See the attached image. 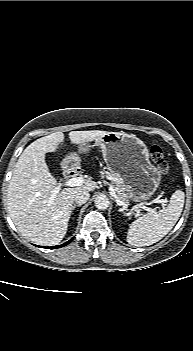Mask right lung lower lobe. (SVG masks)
Listing matches in <instances>:
<instances>
[{"mask_svg": "<svg viewBox=\"0 0 193 351\" xmlns=\"http://www.w3.org/2000/svg\"><path fill=\"white\" fill-rule=\"evenodd\" d=\"M72 241V239L71 240H69L68 242H66V243H64V244H62V245H58V246H52L51 248H60V247H63V246H66L67 244H69L70 242Z\"/></svg>", "mask_w": 193, "mask_h": 351, "instance_id": "obj_1", "label": "right lung lower lobe"}]
</instances>
